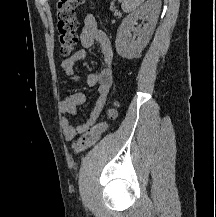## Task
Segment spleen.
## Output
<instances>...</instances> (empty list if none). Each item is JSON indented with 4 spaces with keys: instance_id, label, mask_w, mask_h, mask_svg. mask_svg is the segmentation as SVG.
Returning a JSON list of instances; mask_svg holds the SVG:
<instances>
[{
    "instance_id": "obj_1",
    "label": "spleen",
    "mask_w": 216,
    "mask_h": 217,
    "mask_svg": "<svg viewBox=\"0 0 216 217\" xmlns=\"http://www.w3.org/2000/svg\"><path fill=\"white\" fill-rule=\"evenodd\" d=\"M122 1V10L126 13L132 12L138 6H140L144 0H121Z\"/></svg>"
}]
</instances>
